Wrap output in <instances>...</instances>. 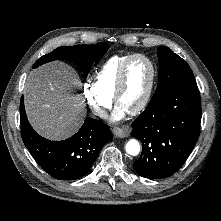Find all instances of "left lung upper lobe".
<instances>
[{
    "label": "left lung upper lobe",
    "mask_w": 221,
    "mask_h": 221,
    "mask_svg": "<svg viewBox=\"0 0 221 221\" xmlns=\"http://www.w3.org/2000/svg\"><path fill=\"white\" fill-rule=\"evenodd\" d=\"M159 60L158 85L151 100L159 99L176 87L195 83L189 65L167 47L157 49Z\"/></svg>",
    "instance_id": "obj_1"
}]
</instances>
